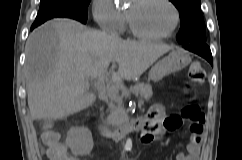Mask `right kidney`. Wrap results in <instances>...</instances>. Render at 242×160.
<instances>
[{
	"mask_svg": "<svg viewBox=\"0 0 242 160\" xmlns=\"http://www.w3.org/2000/svg\"><path fill=\"white\" fill-rule=\"evenodd\" d=\"M66 145L75 156L91 153L93 149L92 133L87 127H74L67 132Z\"/></svg>",
	"mask_w": 242,
	"mask_h": 160,
	"instance_id": "ca27d5eb",
	"label": "right kidney"
}]
</instances>
